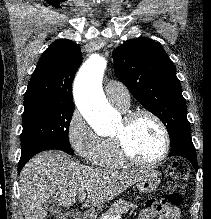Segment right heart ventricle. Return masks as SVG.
Masks as SVG:
<instances>
[{"mask_svg":"<svg viewBox=\"0 0 211 219\" xmlns=\"http://www.w3.org/2000/svg\"><path fill=\"white\" fill-rule=\"evenodd\" d=\"M120 110L126 111V109ZM91 160L94 165L104 168H121L126 165L118 157L112 138L101 139L99 147Z\"/></svg>","mask_w":211,"mask_h":219,"instance_id":"obj_1","label":"right heart ventricle"}]
</instances>
